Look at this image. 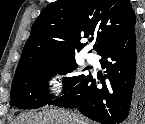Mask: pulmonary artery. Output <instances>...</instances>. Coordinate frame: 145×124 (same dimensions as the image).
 <instances>
[{
  "label": "pulmonary artery",
  "mask_w": 145,
  "mask_h": 124,
  "mask_svg": "<svg viewBox=\"0 0 145 124\" xmlns=\"http://www.w3.org/2000/svg\"><path fill=\"white\" fill-rule=\"evenodd\" d=\"M86 60H87L89 63L93 64V63H96V62H97V57H96L95 54L90 53V54H87V55H86Z\"/></svg>",
  "instance_id": "1"
}]
</instances>
